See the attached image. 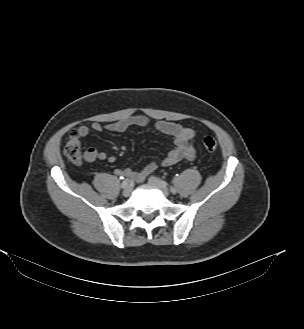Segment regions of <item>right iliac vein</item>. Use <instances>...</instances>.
Listing matches in <instances>:
<instances>
[{
    "label": "right iliac vein",
    "mask_w": 304,
    "mask_h": 329,
    "mask_svg": "<svg viewBox=\"0 0 304 329\" xmlns=\"http://www.w3.org/2000/svg\"><path fill=\"white\" fill-rule=\"evenodd\" d=\"M132 192V187L130 185H127L124 189H123V195L125 197H128Z\"/></svg>",
    "instance_id": "obj_1"
}]
</instances>
